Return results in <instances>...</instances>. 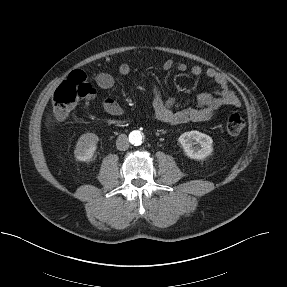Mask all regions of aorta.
Instances as JSON below:
<instances>
[{"instance_id": "obj_1", "label": "aorta", "mask_w": 287, "mask_h": 287, "mask_svg": "<svg viewBox=\"0 0 287 287\" xmlns=\"http://www.w3.org/2000/svg\"><path fill=\"white\" fill-rule=\"evenodd\" d=\"M132 144L138 145L142 142L143 136L140 131H132L129 135Z\"/></svg>"}]
</instances>
